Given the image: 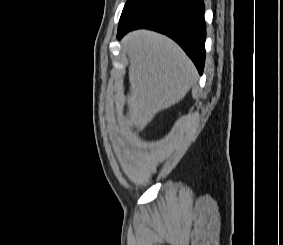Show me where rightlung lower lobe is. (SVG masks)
Instances as JSON below:
<instances>
[{
	"label": "right lung lower lobe",
	"instance_id": "98d812e1",
	"mask_svg": "<svg viewBox=\"0 0 283 245\" xmlns=\"http://www.w3.org/2000/svg\"><path fill=\"white\" fill-rule=\"evenodd\" d=\"M204 11L203 0H151L119 24L117 38L138 28L166 34L184 49L202 74L206 39Z\"/></svg>",
	"mask_w": 283,
	"mask_h": 245
}]
</instances>
